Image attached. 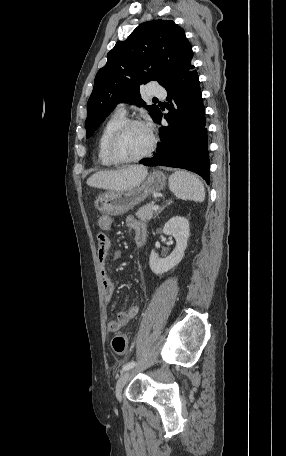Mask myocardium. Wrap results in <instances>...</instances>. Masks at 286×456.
<instances>
[{
    "label": "myocardium",
    "instance_id": "obj_1",
    "mask_svg": "<svg viewBox=\"0 0 286 456\" xmlns=\"http://www.w3.org/2000/svg\"><path fill=\"white\" fill-rule=\"evenodd\" d=\"M135 125L143 126L147 129V131L149 133V137H150L149 147L145 153H143L142 155H140L138 157L123 158L118 155V153L116 151V144H117L120 136L123 134V132L130 126H135ZM156 144H157V139H156L155 133L147 122H145L143 120H139V119H125L118 125V127L111 134V136L108 140V144H107V153H108L109 157L117 164L135 163V162L142 161V160L146 159L147 157H149L155 150Z\"/></svg>",
    "mask_w": 286,
    "mask_h": 456
}]
</instances>
